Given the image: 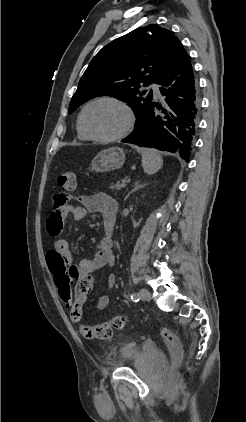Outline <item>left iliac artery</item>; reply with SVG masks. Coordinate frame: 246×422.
Returning <instances> with one entry per match:
<instances>
[{
    "label": "left iliac artery",
    "instance_id": "left-iliac-artery-1",
    "mask_svg": "<svg viewBox=\"0 0 246 422\" xmlns=\"http://www.w3.org/2000/svg\"><path fill=\"white\" fill-rule=\"evenodd\" d=\"M131 300L134 302H138L139 301V295L137 293H132L130 296Z\"/></svg>",
    "mask_w": 246,
    "mask_h": 422
}]
</instances>
